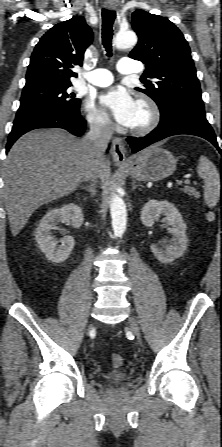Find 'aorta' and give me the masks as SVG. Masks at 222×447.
<instances>
[{
  "mask_svg": "<svg viewBox=\"0 0 222 447\" xmlns=\"http://www.w3.org/2000/svg\"><path fill=\"white\" fill-rule=\"evenodd\" d=\"M137 43L136 34L131 31H119L116 34L114 45L118 49L133 47ZM110 214L112 218V227L115 236H121L127 223V210L124 200L117 194H113L110 201Z\"/></svg>",
  "mask_w": 222,
  "mask_h": 447,
  "instance_id": "1",
  "label": "aorta"
}]
</instances>
